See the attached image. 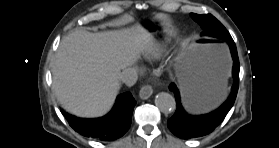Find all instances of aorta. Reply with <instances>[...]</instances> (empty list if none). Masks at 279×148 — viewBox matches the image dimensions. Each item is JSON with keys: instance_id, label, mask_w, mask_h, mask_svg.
I'll use <instances>...</instances> for the list:
<instances>
[{"instance_id": "obj_1", "label": "aorta", "mask_w": 279, "mask_h": 148, "mask_svg": "<svg viewBox=\"0 0 279 148\" xmlns=\"http://www.w3.org/2000/svg\"><path fill=\"white\" fill-rule=\"evenodd\" d=\"M155 104L158 109L165 113H171L176 108V101L174 97L167 92H160L155 97Z\"/></svg>"}]
</instances>
